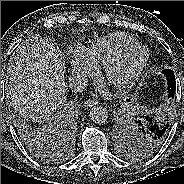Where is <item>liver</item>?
Instances as JSON below:
<instances>
[{
	"label": "liver",
	"instance_id": "6515ba94",
	"mask_svg": "<svg viewBox=\"0 0 184 184\" xmlns=\"http://www.w3.org/2000/svg\"><path fill=\"white\" fill-rule=\"evenodd\" d=\"M64 80L55 47L34 37L10 59L5 94L14 110L38 122L61 109L66 92Z\"/></svg>",
	"mask_w": 184,
	"mask_h": 184
}]
</instances>
